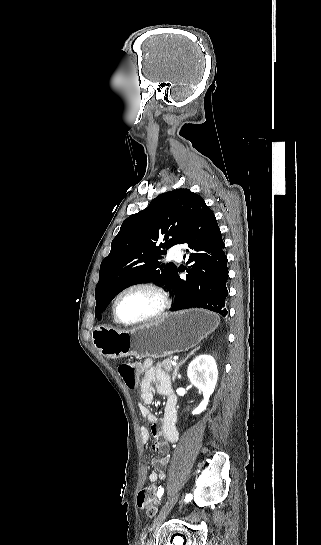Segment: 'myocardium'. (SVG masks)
I'll list each match as a JSON object with an SVG mask.
<instances>
[{
    "label": "myocardium",
    "instance_id": "myocardium-1",
    "mask_svg": "<svg viewBox=\"0 0 321 545\" xmlns=\"http://www.w3.org/2000/svg\"><path fill=\"white\" fill-rule=\"evenodd\" d=\"M148 290V291H151L153 293H155L160 301H161V305L159 307V309L151 316L145 318V319H142V320H139L137 322H133V323H128V322H125L123 321L119 314H118V302L120 300V298L127 292L129 291H133V290ZM172 307V300H171V296L169 294V292L164 289L162 286L158 285V284H155V283H135V284H132V285H129L125 288H123L115 297L114 299V302H113V316L115 318V321L124 326V327H131V328H135V327H139V326H142V325H146V324H149V323H152V322H155L157 320H159L160 318H162L168 311L169 309Z\"/></svg>",
    "mask_w": 321,
    "mask_h": 545
}]
</instances>
